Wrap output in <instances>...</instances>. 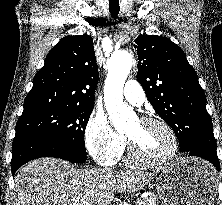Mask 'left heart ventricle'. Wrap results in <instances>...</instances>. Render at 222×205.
Segmentation results:
<instances>
[{"label": "left heart ventricle", "instance_id": "left-heart-ventricle-1", "mask_svg": "<svg viewBox=\"0 0 222 205\" xmlns=\"http://www.w3.org/2000/svg\"><path fill=\"white\" fill-rule=\"evenodd\" d=\"M126 135L134 142L138 153L147 159H159L171 149V139L166 130L157 124H145L134 120Z\"/></svg>", "mask_w": 222, "mask_h": 205}]
</instances>
